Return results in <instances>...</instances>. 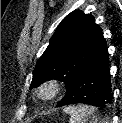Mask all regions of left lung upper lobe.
I'll use <instances>...</instances> for the list:
<instances>
[{
  "label": "left lung upper lobe",
  "instance_id": "left-lung-upper-lobe-1",
  "mask_svg": "<svg viewBox=\"0 0 122 123\" xmlns=\"http://www.w3.org/2000/svg\"><path fill=\"white\" fill-rule=\"evenodd\" d=\"M105 45L93 16L80 10L71 12L61 21L37 62L30 89L50 79L64 81L69 89L79 71Z\"/></svg>",
  "mask_w": 122,
  "mask_h": 123
}]
</instances>
